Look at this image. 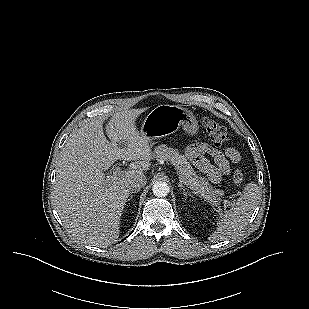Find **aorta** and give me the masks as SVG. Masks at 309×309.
<instances>
[{"label": "aorta", "instance_id": "aorta-1", "mask_svg": "<svg viewBox=\"0 0 309 309\" xmlns=\"http://www.w3.org/2000/svg\"><path fill=\"white\" fill-rule=\"evenodd\" d=\"M169 190V185L166 182H156L152 187L153 194L157 197L167 196Z\"/></svg>", "mask_w": 309, "mask_h": 309}]
</instances>
